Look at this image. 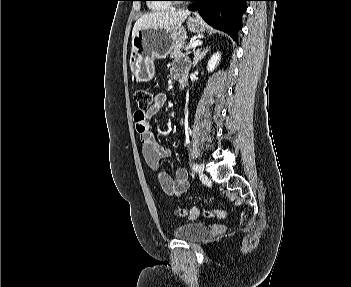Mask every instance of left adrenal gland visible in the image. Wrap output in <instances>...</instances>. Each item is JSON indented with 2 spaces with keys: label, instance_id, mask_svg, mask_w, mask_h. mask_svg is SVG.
Listing matches in <instances>:
<instances>
[{
  "label": "left adrenal gland",
  "instance_id": "obj_1",
  "mask_svg": "<svg viewBox=\"0 0 351 287\" xmlns=\"http://www.w3.org/2000/svg\"><path fill=\"white\" fill-rule=\"evenodd\" d=\"M209 48L206 47L203 50L202 49H197L194 51V58H193V67L197 65V63L206 55L208 52Z\"/></svg>",
  "mask_w": 351,
  "mask_h": 287
}]
</instances>
